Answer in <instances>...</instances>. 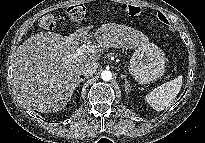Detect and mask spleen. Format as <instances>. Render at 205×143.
<instances>
[{
  "mask_svg": "<svg viewBox=\"0 0 205 143\" xmlns=\"http://www.w3.org/2000/svg\"><path fill=\"white\" fill-rule=\"evenodd\" d=\"M182 76L162 84L146 95L145 99L156 111L168 108L177 97L182 86Z\"/></svg>",
  "mask_w": 205,
  "mask_h": 143,
  "instance_id": "1",
  "label": "spleen"
}]
</instances>
